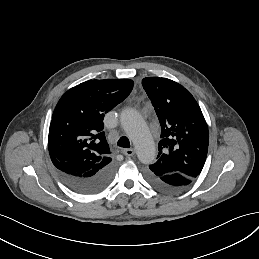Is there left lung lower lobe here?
<instances>
[{"mask_svg": "<svg viewBox=\"0 0 259 259\" xmlns=\"http://www.w3.org/2000/svg\"><path fill=\"white\" fill-rule=\"evenodd\" d=\"M147 181L155 189L165 193H178L186 190L194 179L179 173L156 175L149 170L146 172Z\"/></svg>", "mask_w": 259, "mask_h": 259, "instance_id": "0a47b994", "label": "left lung lower lobe"}]
</instances>
